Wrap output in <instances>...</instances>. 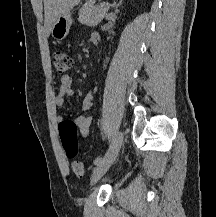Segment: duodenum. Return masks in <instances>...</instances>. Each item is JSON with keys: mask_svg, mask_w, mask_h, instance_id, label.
Here are the masks:
<instances>
[{"mask_svg": "<svg viewBox=\"0 0 216 217\" xmlns=\"http://www.w3.org/2000/svg\"><path fill=\"white\" fill-rule=\"evenodd\" d=\"M91 40L94 44H98L99 43V37L97 35H93L91 37Z\"/></svg>", "mask_w": 216, "mask_h": 217, "instance_id": "1", "label": "duodenum"}]
</instances>
